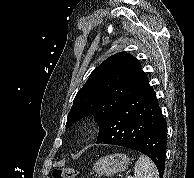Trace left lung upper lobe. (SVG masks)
<instances>
[{
  "mask_svg": "<svg viewBox=\"0 0 194 178\" xmlns=\"http://www.w3.org/2000/svg\"><path fill=\"white\" fill-rule=\"evenodd\" d=\"M150 87L141 64L132 55L120 52L96 67L74 98L66 127L87 116L98 124L131 95Z\"/></svg>",
  "mask_w": 194,
  "mask_h": 178,
  "instance_id": "5c2ea615",
  "label": "left lung upper lobe"
}]
</instances>
